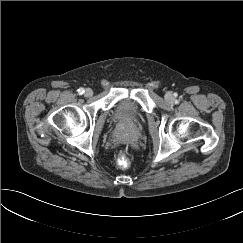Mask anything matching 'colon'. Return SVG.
<instances>
[{
	"label": "colon",
	"instance_id": "colon-1",
	"mask_svg": "<svg viewBox=\"0 0 243 243\" xmlns=\"http://www.w3.org/2000/svg\"><path fill=\"white\" fill-rule=\"evenodd\" d=\"M117 164L122 169H126L130 166V160L128 158L127 151L125 150L120 151L117 158Z\"/></svg>",
	"mask_w": 243,
	"mask_h": 243
}]
</instances>
